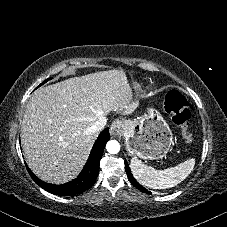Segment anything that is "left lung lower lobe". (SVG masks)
Returning a JSON list of instances; mask_svg holds the SVG:
<instances>
[{
    "instance_id": "left-lung-lower-lobe-1",
    "label": "left lung lower lobe",
    "mask_w": 227,
    "mask_h": 227,
    "mask_svg": "<svg viewBox=\"0 0 227 227\" xmlns=\"http://www.w3.org/2000/svg\"><path fill=\"white\" fill-rule=\"evenodd\" d=\"M125 170H126V173H127V176H128V179L129 181L139 190L147 193V194H151L150 191H148L147 189H145L143 186H141L136 180L135 178L133 177V175L131 174V171H130V168L128 166V163L127 161L125 160Z\"/></svg>"
}]
</instances>
